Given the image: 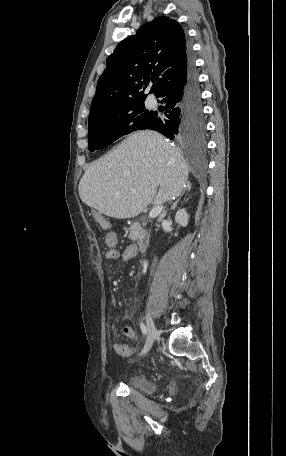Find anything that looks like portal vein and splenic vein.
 Segmentation results:
<instances>
[{
  "label": "portal vein and splenic vein",
  "mask_w": 286,
  "mask_h": 456,
  "mask_svg": "<svg viewBox=\"0 0 286 456\" xmlns=\"http://www.w3.org/2000/svg\"><path fill=\"white\" fill-rule=\"evenodd\" d=\"M162 206H156L154 207L150 212H149V216L150 217H155L157 216L161 211H162Z\"/></svg>",
  "instance_id": "18ae733b"
}]
</instances>
